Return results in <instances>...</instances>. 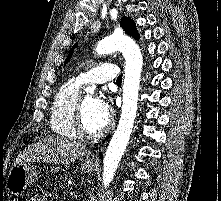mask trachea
<instances>
[{
	"label": "trachea",
	"mask_w": 221,
	"mask_h": 201,
	"mask_svg": "<svg viewBox=\"0 0 221 201\" xmlns=\"http://www.w3.org/2000/svg\"><path fill=\"white\" fill-rule=\"evenodd\" d=\"M117 84H121L122 83V75H120L118 78H117Z\"/></svg>",
	"instance_id": "3493384b"
}]
</instances>
